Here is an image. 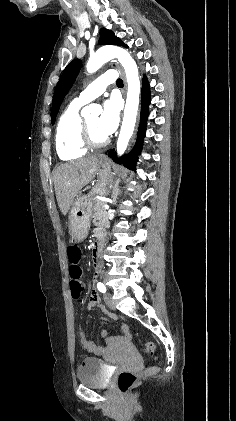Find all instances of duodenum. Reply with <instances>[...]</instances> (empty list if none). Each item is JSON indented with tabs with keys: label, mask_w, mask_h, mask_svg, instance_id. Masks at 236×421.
Returning <instances> with one entry per match:
<instances>
[{
	"label": "duodenum",
	"mask_w": 236,
	"mask_h": 421,
	"mask_svg": "<svg viewBox=\"0 0 236 421\" xmlns=\"http://www.w3.org/2000/svg\"><path fill=\"white\" fill-rule=\"evenodd\" d=\"M95 236H96V242L93 246V260H94L95 267L99 269L101 267V250H102L103 243L105 241L106 232L103 228H97L95 231ZM127 336H128V330H124V336L122 338L126 339ZM83 343L90 350H93L95 352L102 351L101 347L95 346L91 342L87 341L85 338L83 339Z\"/></svg>",
	"instance_id": "410a0bca"
}]
</instances>
